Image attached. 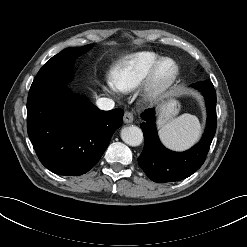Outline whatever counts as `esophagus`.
Segmentation results:
<instances>
[{"mask_svg":"<svg viewBox=\"0 0 247 247\" xmlns=\"http://www.w3.org/2000/svg\"><path fill=\"white\" fill-rule=\"evenodd\" d=\"M134 120L133 114L131 112H125L123 116V121L126 124L132 123Z\"/></svg>","mask_w":247,"mask_h":247,"instance_id":"esophagus-1","label":"esophagus"}]
</instances>
